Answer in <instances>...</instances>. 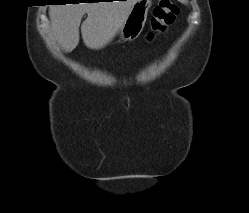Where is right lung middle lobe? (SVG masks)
Instances as JSON below:
<instances>
[{"label":"right lung middle lobe","instance_id":"right-lung-middle-lobe-1","mask_svg":"<svg viewBox=\"0 0 249 213\" xmlns=\"http://www.w3.org/2000/svg\"><path fill=\"white\" fill-rule=\"evenodd\" d=\"M55 1H59L61 3H66V2H75L76 0H55Z\"/></svg>","mask_w":249,"mask_h":213}]
</instances>
